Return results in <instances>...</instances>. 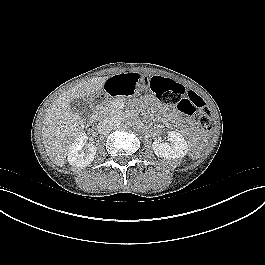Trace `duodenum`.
<instances>
[{
    "label": "duodenum",
    "instance_id": "410a0bca",
    "mask_svg": "<svg viewBox=\"0 0 265 265\" xmlns=\"http://www.w3.org/2000/svg\"><path fill=\"white\" fill-rule=\"evenodd\" d=\"M98 102H99V101H98ZM98 102H96V104H97ZM98 116H99V113H98V111H95V113H94V119H97V118H98Z\"/></svg>",
    "mask_w": 265,
    "mask_h": 265
}]
</instances>
